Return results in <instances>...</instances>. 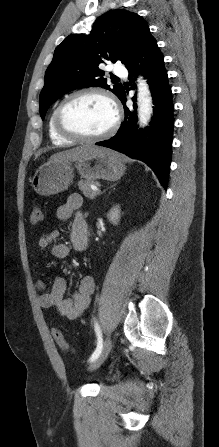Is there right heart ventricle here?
<instances>
[{
    "mask_svg": "<svg viewBox=\"0 0 219 447\" xmlns=\"http://www.w3.org/2000/svg\"><path fill=\"white\" fill-rule=\"evenodd\" d=\"M55 110H56V107L52 110V112L49 116V119H48V124H47L48 136H49L50 140L53 143H57V144H66V143L74 142L75 140L66 138L56 131L55 126H54Z\"/></svg>",
    "mask_w": 219,
    "mask_h": 447,
    "instance_id": "obj_1",
    "label": "right heart ventricle"
}]
</instances>
